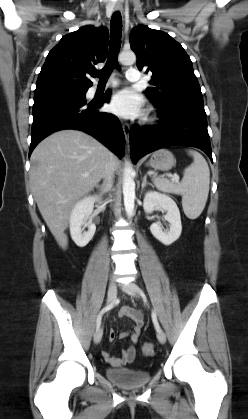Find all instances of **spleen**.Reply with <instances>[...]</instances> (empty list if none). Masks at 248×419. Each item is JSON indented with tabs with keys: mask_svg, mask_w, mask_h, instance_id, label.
Wrapping results in <instances>:
<instances>
[{
	"mask_svg": "<svg viewBox=\"0 0 248 419\" xmlns=\"http://www.w3.org/2000/svg\"><path fill=\"white\" fill-rule=\"evenodd\" d=\"M193 156V163L183 173L180 183H174L164 178L153 177L157 189L180 194L185 215L189 219H196L203 211L209 193L210 170L205 158L194 150L188 151Z\"/></svg>",
	"mask_w": 248,
	"mask_h": 419,
	"instance_id": "3e777b00",
	"label": "spleen"
}]
</instances>
